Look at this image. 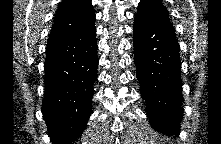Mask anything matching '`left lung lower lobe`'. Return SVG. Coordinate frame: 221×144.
I'll return each instance as SVG.
<instances>
[{
  "mask_svg": "<svg viewBox=\"0 0 221 144\" xmlns=\"http://www.w3.org/2000/svg\"><path fill=\"white\" fill-rule=\"evenodd\" d=\"M134 54L141 97L152 127L177 136L182 119L179 45L169 23L135 17Z\"/></svg>",
  "mask_w": 221,
  "mask_h": 144,
  "instance_id": "obj_1",
  "label": "left lung lower lobe"
}]
</instances>
